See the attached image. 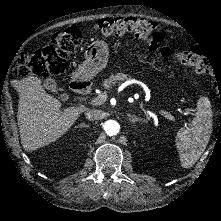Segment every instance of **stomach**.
Instances as JSON below:
<instances>
[{"mask_svg": "<svg viewBox=\"0 0 221 221\" xmlns=\"http://www.w3.org/2000/svg\"><path fill=\"white\" fill-rule=\"evenodd\" d=\"M108 54V46L104 41L96 40L91 43L85 52L84 64L78 67V76L84 80L94 77L106 67Z\"/></svg>", "mask_w": 221, "mask_h": 221, "instance_id": "stomach-1", "label": "stomach"}]
</instances>
